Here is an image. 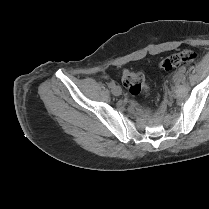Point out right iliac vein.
<instances>
[{"instance_id": "1", "label": "right iliac vein", "mask_w": 209, "mask_h": 209, "mask_svg": "<svg viewBox=\"0 0 209 209\" xmlns=\"http://www.w3.org/2000/svg\"><path fill=\"white\" fill-rule=\"evenodd\" d=\"M112 93H113L115 96L121 95V93H122L121 87H120V86H114V87L112 88Z\"/></svg>"}]
</instances>
